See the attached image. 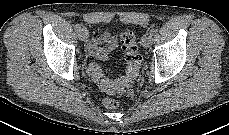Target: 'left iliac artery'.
<instances>
[{"instance_id":"44dca946","label":"left iliac artery","mask_w":229,"mask_h":135,"mask_svg":"<svg viewBox=\"0 0 229 135\" xmlns=\"http://www.w3.org/2000/svg\"><path fill=\"white\" fill-rule=\"evenodd\" d=\"M156 33V29H151L150 31H149V34H151V35H154Z\"/></svg>"}]
</instances>
